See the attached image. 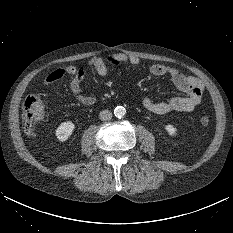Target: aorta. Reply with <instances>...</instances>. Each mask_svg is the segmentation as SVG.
<instances>
[{
    "label": "aorta",
    "mask_w": 233,
    "mask_h": 233,
    "mask_svg": "<svg viewBox=\"0 0 233 233\" xmlns=\"http://www.w3.org/2000/svg\"><path fill=\"white\" fill-rule=\"evenodd\" d=\"M126 114V109L123 106H117L114 109V115L118 118H122Z\"/></svg>",
    "instance_id": "762f6f07"
}]
</instances>
